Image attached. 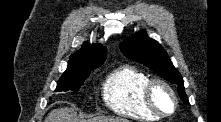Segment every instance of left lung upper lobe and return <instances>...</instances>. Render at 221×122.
I'll return each mask as SVG.
<instances>
[{
  "mask_svg": "<svg viewBox=\"0 0 221 122\" xmlns=\"http://www.w3.org/2000/svg\"><path fill=\"white\" fill-rule=\"evenodd\" d=\"M123 54L134 61L148 66L162 78L178 86L181 99L189 104L184 90V82L160 44L149 38L144 31L133 35L120 44Z\"/></svg>",
  "mask_w": 221,
  "mask_h": 122,
  "instance_id": "5c2ea615",
  "label": "left lung upper lobe"
}]
</instances>
